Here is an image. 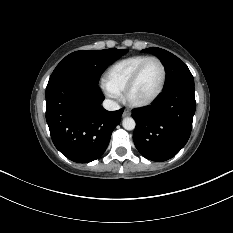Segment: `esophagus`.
Returning a JSON list of instances; mask_svg holds the SVG:
<instances>
[{"label": "esophagus", "instance_id": "obj_1", "mask_svg": "<svg viewBox=\"0 0 233 233\" xmlns=\"http://www.w3.org/2000/svg\"><path fill=\"white\" fill-rule=\"evenodd\" d=\"M131 115V112L129 110H124L122 117H128Z\"/></svg>", "mask_w": 233, "mask_h": 233}]
</instances>
